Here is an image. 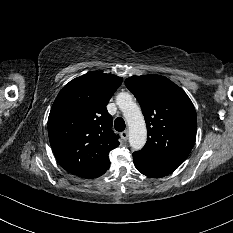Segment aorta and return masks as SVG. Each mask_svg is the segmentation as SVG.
Listing matches in <instances>:
<instances>
[{"label":"aorta","mask_w":233,"mask_h":233,"mask_svg":"<svg viewBox=\"0 0 233 233\" xmlns=\"http://www.w3.org/2000/svg\"><path fill=\"white\" fill-rule=\"evenodd\" d=\"M116 103L121 109L129 127V143L134 150L144 147L147 139V129L142 112L128 93H119Z\"/></svg>","instance_id":"1"}]
</instances>
